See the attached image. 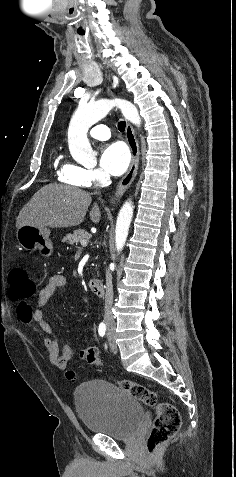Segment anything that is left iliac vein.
Segmentation results:
<instances>
[{"mask_svg":"<svg viewBox=\"0 0 236 477\" xmlns=\"http://www.w3.org/2000/svg\"><path fill=\"white\" fill-rule=\"evenodd\" d=\"M110 348L112 350L113 353H116L117 352V345L114 341V338L113 337H110Z\"/></svg>","mask_w":236,"mask_h":477,"instance_id":"obj_1","label":"left iliac vein"}]
</instances>
